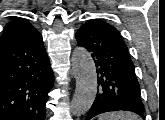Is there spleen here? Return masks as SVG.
Masks as SVG:
<instances>
[{"instance_id":"obj_1","label":"spleen","mask_w":165,"mask_h":120,"mask_svg":"<svg viewBox=\"0 0 165 120\" xmlns=\"http://www.w3.org/2000/svg\"><path fill=\"white\" fill-rule=\"evenodd\" d=\"M98 120H139L138 116L131 112L118 111L104 113L99 116Z\"/></svg>"}]
</instances>
